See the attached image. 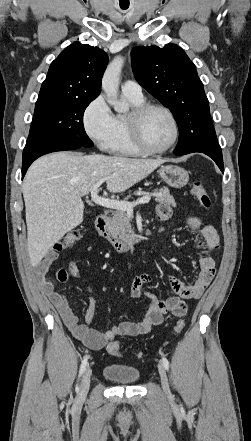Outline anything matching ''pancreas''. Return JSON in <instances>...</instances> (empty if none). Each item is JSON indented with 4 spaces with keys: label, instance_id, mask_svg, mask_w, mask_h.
Here are the masks:
<instances>
[{
    "label": "pancreas",
    "instance_id": "1",
    "mask_svg": "<svg viewBox=\"0 0 251 441\" xmlns=\"http://www.w3.org/2000/svg\"><path fill=\"white\" fill-rule=\"evenodd\" d=\"M154 193H159L156 196L155 201L167 206L176 207V202L173 196L170 195L169 189L167 187H162L159 190H155ZM129 196L125 198L128 200ZM112 218L110 220L109 232L114 237H119L122 240H128L132 236V229L130 224V218L126 211L116 210L112 213Z\"/></svg>",
    "mask_w": 251,
    "mask_h": 441
}]
</instances>
